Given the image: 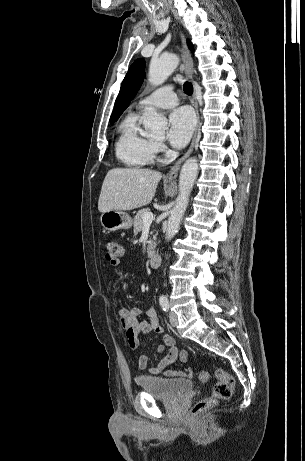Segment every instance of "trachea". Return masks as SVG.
<instances>
[{"mask_svg": "<svg viewBox=\"0 0 305 461\" xmlns=\"http://www.w3.org/2000/svg\"><path fill=\"white\" fill-rule=\"evenodd\" d=\"M183 90L187 95H192L193 93V86L190 82H185L183 86Z\"/></svg>", "mask_w": 305, "mask_h": 461, "instance_id": "obj_1", "label": "trachea"}]
</instances>
